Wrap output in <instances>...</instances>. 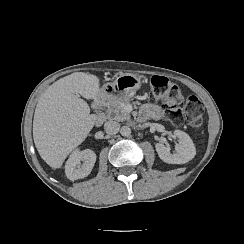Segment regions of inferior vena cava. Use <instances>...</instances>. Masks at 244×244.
Here are the masks:
<instances>
[{
    "mask_svg": "<svg viewBox=\"0 0 244 244\" xmlns=\"http://www.w3.org/2000/svg\"><path fill=\"white\" fill-rule=\"evenodd\" d=\"M105 132L109 135L117 134L120 130V124L115 121H108L104 124Z\"/></svg>",
    "mask_w": 244,
    "mask_h": 244,
    "instance_id": "602c4592",
    "label": "inferior vena cava"
}]
</instances>
